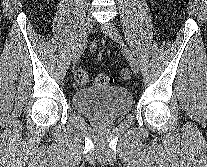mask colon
Returning <instances> with one entry per match:
<instances>
[{
	"label": "colon",
	"instance_id": "obj_1",
	"mask_svg": "<svg viewBox=\"0 0 207 167\" xmlns=\"http://www.w3.org/2000/svg\"><path fill=\"white\" fill-rule=\"evenodd\" d=\"M120 76L124 80H128L131 76L130 71L127 68H124L120 72ZM75 80L80 85H85L89 82L90 76L89 73L84 69H78L75 72ZM94 83L98 86H108L113 83V78L105 73H100L94 76Z\"/></svg>",
	"mask_w": 207,
	"mask_h": 167
}]
</instances>
